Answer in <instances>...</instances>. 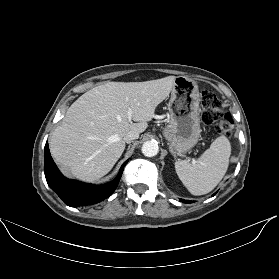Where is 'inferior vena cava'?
Wrapping results in <instances>:
<instances>
[{
    "mask_svg": "<svg viewBox=\"0 0 279 279\" xmlns=\"http://www.w3.org/2000/svg\"><path fill=\"white\" fill-rule=\"evenodd\" d=\"M139 137V133L135 132V131H129L125 137H124V141L127 143H130L132 140H135Z\"/></svg>",
    "mask_w": 279,
    "mask_h": 279,
    "instance_id": "obj_1",
    "label": "inferior vena cava"
}]
</instances>
